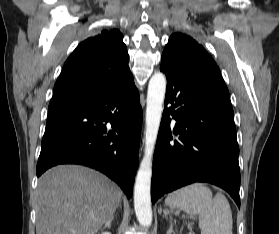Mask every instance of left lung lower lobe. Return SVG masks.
<instances>
[{
    "label": "left lung lower lobe",
    "instance_id": "obj_1",
    "mask_svg": "<svg viewBox=\"0 0 279 234\" xmlns=\"http://www.w3.org/2000/svg\"><path fill=\"white\" fill-rule=\"evenodd\" d=\"M160 70L167 75V90L154 153L152 203L182 186L207 182L226 190L240 207L239 147L222 77L167 54H162ZM170 117L177 121L174 128Z\"/></svg>",
    "mask_w": 279,
    "mask_h": 234
}]
</instances>
